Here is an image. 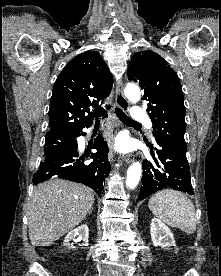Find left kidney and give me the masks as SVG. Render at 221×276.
Wrapping results in <instances>:
<instances>
[{"mask_svg": "<svg viewBox=\"0 0 221 276\" xmlns=\"http://www.w3.org/2000/svg\"><path fill=\"white\" fill-rule=\"evenodd\" d=\"M150 234L154 246L161 248L175 246L171 230L157 218H153L151 221Z\"/></svg>", "mask_w": 221, "mask_h": 276, "instance_id": "1", "label": "left kidney"}]
</instances>
